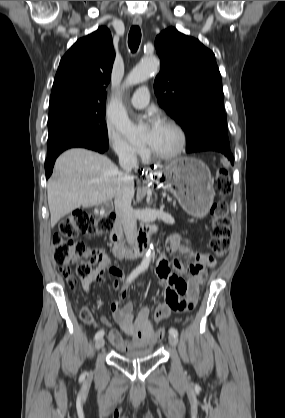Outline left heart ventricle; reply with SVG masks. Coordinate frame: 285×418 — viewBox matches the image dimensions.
Here are the masks:
<instances>
[{"label": "left heart ventricle", "instance_id": "b2bd125f", "mask_svg": "<svg viewBox=\"0 0 285 418\" xmlns=\"http://www.w3.org/2000/svg\"><path fill=\"white\" fill-rule=\"evenodd\" d=\"M146 140L151 144L152 148L161 153H171L178 145V135L176 131L170 127L163 125L161 130L154 136L147 134Z\"/></svg>", "mask_w": 285, "mask_h": 418}]
</instances>
